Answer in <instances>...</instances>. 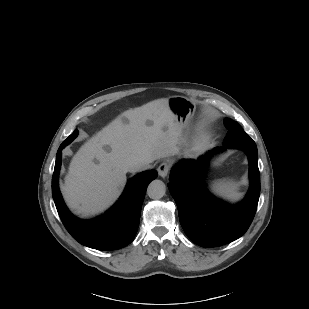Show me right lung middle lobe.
I'll use <instances>...</instances> for the list:
<instances>
[{
	"label": "right lung middle lobe",
	"mask_w": 309,
	"mask_h": 309,
	"mask_svg": "<svg viewBox=\"0 0 309 309\" xmlns=\"http://www.w3.org/2000/svg\"><path fill=\"white\" fill-rule=\"evenodd\" d=\"M78 131L75 130L66 140L63 141L66 145H68L73 139L77 136Z\"/></svg>",
	"instance_id": "right-lung-middle-lobe-1"
}]
</instances>
